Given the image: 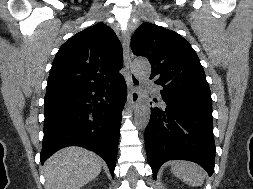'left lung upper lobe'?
I'll return each mask as SVG.
<instances>
[{"instance_id": "left-lung-upper-lobe-1", "label": "left lung upper lobe", "mask_w": 253, "mask_h": 189, "mask_svg": "<svg viewBox=\"0 0 253 189\" xmlns=\"http://www.w3.org/2000/svg\"><path fill=\"white\" fill-rule=\"evenodd\" d=\"M131 48L148 58L150 78L162 92L192 99L212 107L211 92L200 60L189 42L172 30L148 22L135 31Z\"/></svg>"}]
</instances>
